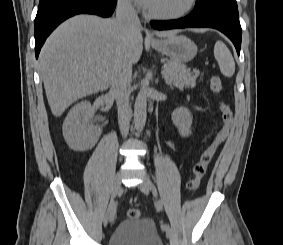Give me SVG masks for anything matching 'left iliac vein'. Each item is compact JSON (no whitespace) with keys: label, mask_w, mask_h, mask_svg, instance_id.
<instances>
[{"label":"left iliac vein","mask_w":283,"mask_h":245,"mask_svg":"<svg viewBox=\"0 0 283 245\" xmlns=\"http://www.w3.org/2000/svg\"><path fill=\"white\" fill-rule=\"evenodd\" d=\"M139 189L145 194L148 195L153 189V184L148 176H145L143 181L139 184ZM168 238L171 236L170 230H165Z\"/></svg>","instance_id":"4c4485c4"}]
</instances>
